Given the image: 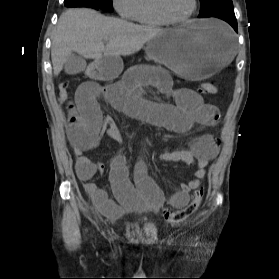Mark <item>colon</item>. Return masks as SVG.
Segmentation results:
<instances>
[{"instance_id": "5ec220e1", "label": "colon", "mask_w": 279, "mask_h": 279, "mask_svg": "<svg viewBox=\"0 0 279 279\" xmlns=\"http://www.w3.org/2000/svg\"><path fill=\"white\" fill-rule=\"evenodd\" d=\"M199 91L205 94H215L218 92L216 85L213 83H203L199 87ZM58 97L61 102H67L71 97L67 82H60L58 85ZM203 196V189L199 188L194 191L191 201L184 207L179 209H167L164 212L165 219L172 223H180L190 217L200 206Z\"/></svg>"}]
</instances>
